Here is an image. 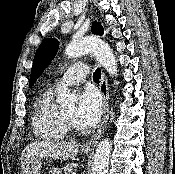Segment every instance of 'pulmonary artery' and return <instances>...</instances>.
I'll list each match as a JSON object with an SVG mask.
<instances>
[{"label":"pulmonary artery","instance_id":"e3ab8cb5","mask_svg":"<svg viewBox=\"0 0 175 174\" xmlns=\"http://www.w3.org/2000/svg\"><path fill=\"white\" fill-rule=\"evenodd\" d=\"M88 74V67L84 63H77L71 66L61 78L55 82L58 85H75L82 83Z\"/></svg>","mask_w":175,"mask_h":174}]
</instances>
